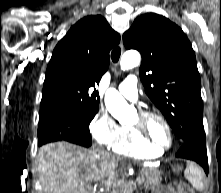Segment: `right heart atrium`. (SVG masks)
I'll use <instances>...</instances> for the list:
<instances>
[{
    "mask_svg": "<svg viewBox=\"0 0 221 193\" xmlns=\"http://www.w3.org/2000/svg\"><path fill=\"white\" fill-rule=\"evenodd\" d=\"M90 133L99 145L111 147L120 136L121 126L105 109H99L89 124Z\"/></svg>",
    "mask_w": 221,
    "mask_h": 193,
    "instance_id": "obj_1",
    "label": "right heart atrium"
}]
</instances>
